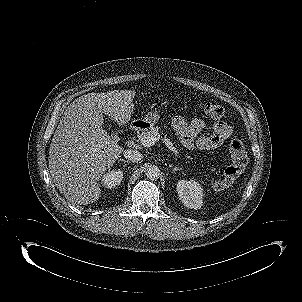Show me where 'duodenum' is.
<instances>
[{
    "instance_id": "1",
    "label": "duodenum",
    "mask_w": 302,
    "mask_h": 302,
    "mask_svg": "<svg viewBox=\"0 0 302 302\" xmlns=\"http://www.w3.org/2000/svg\"><path fill=\"white\" fill-rule=\"evenodd\" d=\"M143 126H144V124L141 121L133 122L130 126V131H132V132L140 131Z\"/></svg>"
}]
</instances>
